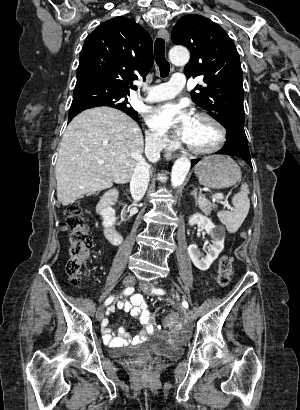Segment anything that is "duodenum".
Masks as SVG:
<instances>
[{"label": "duodenum", "mask_w": 300, "mask_h": 410, "mask_svg": "<svg viewBox=\"0 0 300 410\" xmlns=\"http://www.w3.org/2000/svg\"><path fill=\"white\" fill-rule=\"evenodd\" d=\"M120 197V194L117 190H112L109 192L106 200L102 201V203L99 205V210L102 213H105L107 211V207L110 201H116ZM104 234L105 237L112 243L113 245H119L123 239V236L120 232H118L114 226V223L112 220H110L104 229Z\"/></svg>", "instance_id": "obj_1"}]
</instances>
